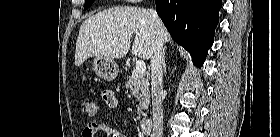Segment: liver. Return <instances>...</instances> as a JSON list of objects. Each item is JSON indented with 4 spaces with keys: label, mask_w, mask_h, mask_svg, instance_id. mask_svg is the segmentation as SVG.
<instances>
[{
    "label": "liver",
    "mask_w": 280,
    "mask_h": 137,
    "mask_svg": "<svg viewBox=\"0 0 280 137\" xmlns=\"http://www.w3.org/2000/svg\"><path fill=\"white\" fill-rule=\"evenodd\" d=\"M156 32L162 45L171 40L162 22L156 28L146 9L127 6L99 12L86 19L80 27L75 65L78 67L93 56L112 60L125 57L133 35L132 55L148 60Z\"/></svg>",
    "instance_id": "liver-1"
}]
</instances>
